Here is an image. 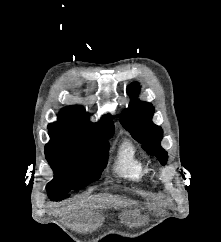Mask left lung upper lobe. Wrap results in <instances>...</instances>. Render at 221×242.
Masks as SVG:
<instances>
[{
  "label": "left lung upper lobe",
  "instance_id": "left-lung-upper-lobe-1",
  "mask_svg": "<svg viewBox=\"0 0 221 242\" xmlns=\"http://www.w3.org/2000/svg\"><path fill=\"white\" fill-rule=\"evenodd\" d=\"M138 83L128 86V93L135 97L139 93ZM154 107L148 102L134 99L121 116V123L140 143L148 154L156 156L162 165L167 161V152L160 146L163 137L161 127L152 122Z\"/></svg>",
  "mask_w": 221,
  "mask_h": 242
}]
</instances>
